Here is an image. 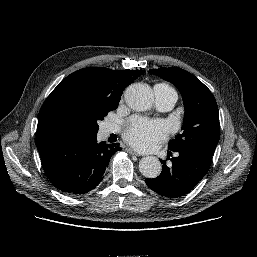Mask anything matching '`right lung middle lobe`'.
Returning a JSON list of instances; mask_svg holds the SVG:
<instances>
[{"mask_svg": "<svg viewBox=\"0 0 257 257\" xmlns=\"http://www.w3.org/2000/svg\"><path fill=\"white\" fill-rule=\"evenodd\" d=\"M119 100H107L92 96H82L75 103V115L81 135H97V122L103 120L108 112L116 110Z\"/></svg>", "mask_w": 257, "mask_h": 257, "instance_id": "obj_1", "label": "right lung middle lobe"}]
</instances>
